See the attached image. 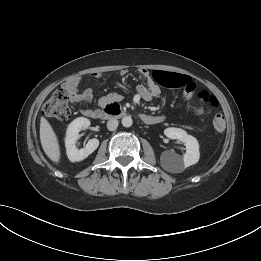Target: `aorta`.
<instances>
[{"instance_id":"obj_1","label":"aorta","mask_w":261,"mask_h":261,"mask_svg":"<svg viewBox=\"0 0 261 261\" xmlns=\"http://www.w3.org/2000/svg\"><path fill=\"white\" fill-rule=\"evenodd\" d=\"M133 124V120L130 116H126L124 118H122V125L124 127H131Z\"/></svg>"}]
</instances>
